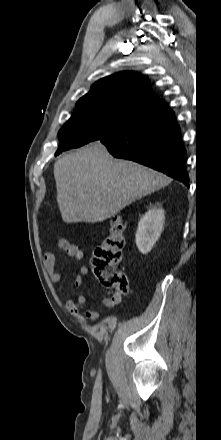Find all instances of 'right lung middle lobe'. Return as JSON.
<instances>
[{"mask_svg": "<svg viewBox=\"0 0 221 440\" xmlns=\"http://www.w3.org/2000/svg\"><path fill=\"white\" fill-rule=\"evenodd\" d=\"M133 113L108 101L77 102L75 113L59 131L60 146L55 155L99 140Z\"/></svg>", "mask_w": 221, "mask_h": 440, "instance_id": "obj_1", "label": "right lung middle lobe"}]
</instances>
